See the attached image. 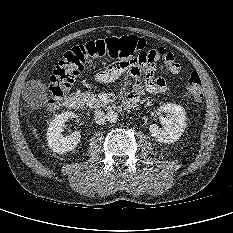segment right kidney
<instances>
[{
  "mask_svg": "<svg viewBox=\"0 0 233 233\" xmlns=\"http://www.w3.org/2000/svg\"><path fill=\"white\" fill-rule=\"evenodd\" d=\"M74 112H63L57 115L50 123L47 130V142L51 150L64 154L75 149L81 141L80 132L75 131L67 136H63L65 122L75 118Z\"/></svg>",
  "mask_w": 233,
  "mask_h": 233,
  "instance_id": "1",
  "label": "right kidney"
}]
</instances>
